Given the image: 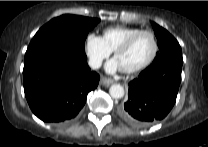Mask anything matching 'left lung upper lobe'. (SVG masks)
<instances>
[{
    "mask_svg": "<svg viewBox=\"0 0 208 147\" xmlns=\"http://www.w3.org/2000/svg\"><path fill=\"white\" fill-rule=\"evenodd\" d=\"M152 26L155 31L157 44L160 50L153 62L165 57L183 62L181 47L177 40L166 29L158 24L152 22Z\"/></svg>",
    "mask_w": 208,
    "mask_h": 147,
    "instance_id": "1",
    "label": "left lung upper lobe"
}]
</instances>
